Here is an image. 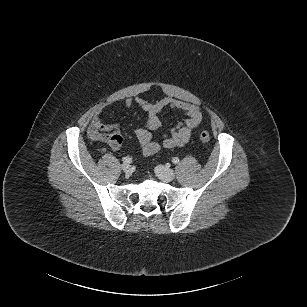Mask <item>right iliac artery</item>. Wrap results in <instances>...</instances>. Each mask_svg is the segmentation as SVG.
Segmentation results:
<instances>
[{
    "instance_id": "obj_1",
    "label": "right iliac artery",
    "mask_w": 307,
    "mask_h": 307,
    "mask_svg": "<svg viewBox=\"0 0 307 307\" xmlns=\"http://www.w3.org/2000/svg\"><path fill=\"white\" fill-rule=\"evenodd\" d=\"M122 161L124 162V163H131L132 162V159L131 158H129V157H124L123 159H122Z\"/></svg>"
}]
</instances>
